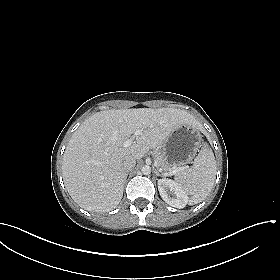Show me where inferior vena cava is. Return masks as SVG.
<instances>
[{
	"label": "inferior vena cava",
	"mask_w": 280,
	"mask_h": 280,
	"mask_svg": "<svg viewBox=\"0 0 280 280\" xmlns=\"http://www.w3.org/2000/svg\"><path fill=\"white\" fill-rule=\"evenodd\" d=\"M136 165V159L132 156H127L123 160V167L126 172H129Z\"/></svg>",
	"instance_id": "obj_1"
}]
</instances>
